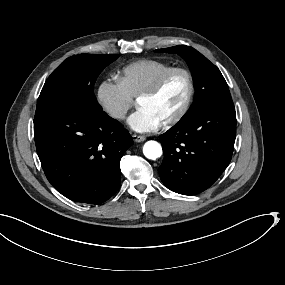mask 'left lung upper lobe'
<instances>
[{
	"mask_svg": "<svg viewBox=\"0 0 285 285\" xmlns=\"http://www.w3.org/2000/svg\"><path fill=\"white\" fill-rule=\"evenodd\" d=\"M156 52L178 53L188 63L195 82L194 102L184 116L210 105H233L228 85L220 70L192 47L180 45Z\"/></svg>",
	"mask_w": 285,
	"mask_h": 285,
	"instance_id": "5c2ea615",
	"label": "left lung upper lobe"
}]
</instances>
